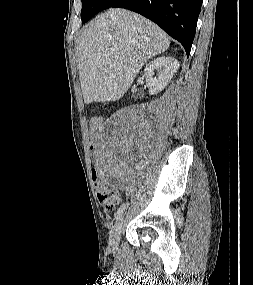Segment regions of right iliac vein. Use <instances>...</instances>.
<instances>
[{"mask_svg":"<svg viewBox=\"0 0 253 285\" xmlns=\"http://www.w3.org/2000/svg\"><path fill=\"white\" fill-rule=\"evenodd\" d=\"M124 218L120 217V219L116 222L113 229L111 230L109 237V248L111 251H116L118 248L120 236L123 229Z\"/></svg>","mask_w":253,"mask_h":285,"instance_id":"1","label":"right iliac vein"}]
</instances>
